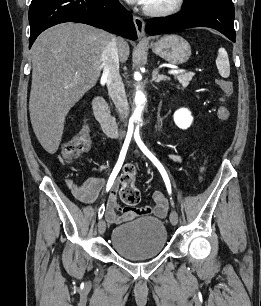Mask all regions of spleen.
I'll use <instances>...</instances> for the list:
<instances>
[{"mask_svg":"<svg viewBox=\"0 0 261 306\" xmlns=\"http://www.w3.org/2000/svg\"><path fill=\"white\" fill-rule=\"evenodd\" d=\"M216 66L221 77L223 78L229 77L230 75L229 58L226 50L222 47L218 50V55L216 58Z\"/></svg>","mask_w":261,"mask_h":306,"instance_id":"1","label":"spleen"}]
</instances>
